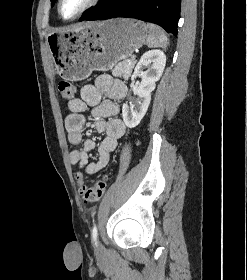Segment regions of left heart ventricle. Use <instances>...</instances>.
I'll use <instances>...</instances> for the list:
<instances>
[{
	"label": "left heart ventricle",
	"mask_w": 247,
	"mask_h": 280,
	"mask_svg": "<svg viewBox=\"0 0 247 280\" xmlns=\"http://www.w3.org/2000/svg\"><path fill=\"white\" fill-rule=\"evenodd\" d=\"M89 0H63L61 13L65 18H70L79 12Z\"/></svg>",
	"instance_id": "b2bd125f"
}]
</instances>
